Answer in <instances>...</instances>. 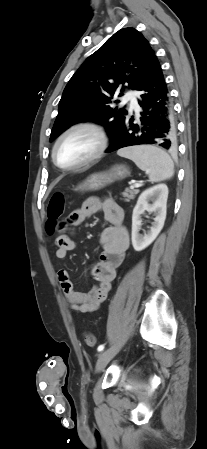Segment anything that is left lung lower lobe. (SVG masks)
I'll list each match as a JSON object with an SVG mask.
<instances>
[{"mask_svg":"<svg viewBox=\"0 0 207 449\" xmlns=\"http://www.w3.org/2000/svg\"><path fill=\"white\" fill-rule=\"evenodd\" d=\"M139 105L142 107L138 123L127 117L120 133L112 140L106 151L141 145L154 144L167 150H175L177 145L175 112L161 65L157 60L142 86Z\"/></svg>","mask_w":207,"mask_h":449,"instance_id":"1","label":"left lung lower lobe"}]
</instances>
